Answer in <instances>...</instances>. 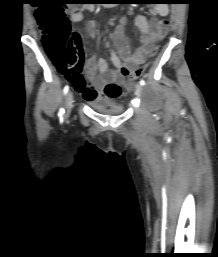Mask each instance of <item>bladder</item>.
Returning a JSON list of instances; mask_svg holds the SVG:
<instances>
[{"label":"bladder","instance_id":"bladder-1","mask_svg":"<svg viewBox=\"0 0 218 257\" xmlns=\"http://www.w3.org/2000/svg\"><path fill=\"white\" fill-rule=\"evenodd\" d=\"M88 105L98 112L108 115H116L123 112L124 107L122 104L116 102L114 99L101 96L94 100L87 101Z\"/></svg>","mask_w":218,"mask_h":257}]
</instances>
